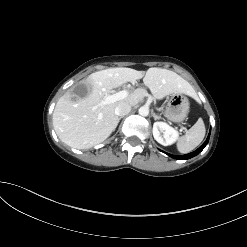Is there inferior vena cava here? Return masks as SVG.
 Masks as SVG:
<instances>
[{
    "instance_id": "inferior-vena-cava-1",
    "label": "inferior vena cava",
    "mask_w": 247,
    "mask_h": 247,
    "mask_svg": "<svg viewBox=\"0 0 247 247\" xmlns=\"http://www.w3.org/2000/svg\"><path fill=\"white\" fill-rule=\"evenodd\" d=\"M131 111V105L126 102H121L118 104V106L115 108V114L117 116H125Z\"/></svg>"
}]
</instances>
